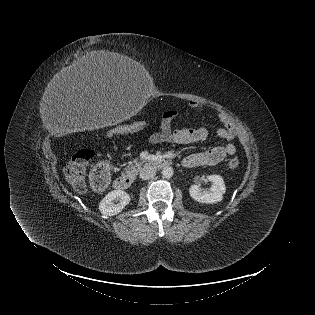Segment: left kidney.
Listing matches in <instances>:
<instances>
[{"mask_svg": "<svg viewBox=\"0 0 315 315\" xmlns=\"http://www.w3.org/2000/svg\"><path fill=\"white\" fill-rule=\"evenodd\" d=\"M207 179L212 182L210 189L204 190L199 185L189 188L190 196L197 202L213 204L222 201L226 192L225 183L220 175H208Z\"/></svg>", "mask_w": 315, "mask_h": 315, "instance_id": "left-kidney-1", "label": "left kidney"}]
</instances>
